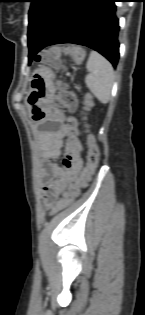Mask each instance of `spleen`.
<instances>
[{"mask_svg":"<svg viewBox=\"0 0 145 315\" xmlns=\"http://www.w3.org/2000/svg\"><path fill=\"white\" fill-rule=\"evenodd\" d=\"M86 68L89 72L85 77L87 87L101 103H108L114 82L112 65L98 52L91 51Z\"/></svg>","mask_w":145,"mask_h":315,"instance_id":"obj_1","label":"spleen"}]
</instances>
